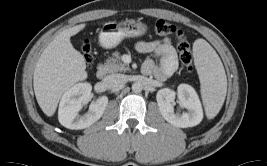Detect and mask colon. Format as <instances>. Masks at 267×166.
<instances>
[{
	"mask_svg": "<svg viewBox=\"0 0 267 166\" xmlns=\"http://www.w3.org/2000/svg\"><path fill=\"white\" fill-rule=\"evenodd\" d=\"M154 32L161 36H173L177 40V48L180 56V61L187 71H193L192 55L190 44L186 38L185 33L170 22L158 19L153 25ZM82 50L86 62L90 65L92 62V47L88 41H85Z\"/></svg>",
	"mask_w": 267,
	"mask_h": 166,
	"instance_id": "colon-1",
	"label": "colon"
}]
</instances>
